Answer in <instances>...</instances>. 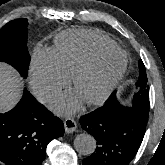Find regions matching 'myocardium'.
<instances>
[{
	"instance_id": "myocardium-1",
	"label": "myocardium",
	"mask_w": 165,
	"mask_h": 165,
	"mask_svg": "<svg viewBox=\"0 0 165 165\" xmlns=\"http://www.w3.org/2000/svg\"><path fill=\"white\" fill-rule=\"evenodd\" d=\"M107 54H120L123 58L122 64L119 69L110 77V79L106 82L103 86L101 91L94 97L90 99L84 100L87 105H98L104 102L110 94L113 92L115 87L118 85L120 80L123 78L127 65H128V58L126 53L119 47H107V48H100L93 51L85 60H83L72 72L71 74V82L73 87L75 88L79 78L88 70H90L96 62L104 55Z\"/></svg>"
}]
</instances>
